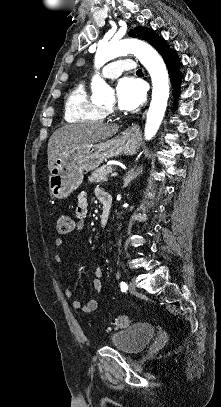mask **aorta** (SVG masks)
<instances>
[{"label": "aorta", "mask_w": 221, "mask_h": 407, "mask_svg": "<svg viewBox=\"0 0 221 407\" xmlns=\"http://www.w3.org/2000/svg\"><path fill=\"white\" fill-rule=\"evenodd\" d=\"M133 53L148 70L153 84L152 100L147 113L145 139H152L157 133L167 106L169 97V77L160 55L147 43L137 39H123L101 43L95 55V67L99 69L108 61ZM93 98L105 100L112 94V89L96 74L91 83Z\"/></svg>", "instance_id": "1"}]
</instances>
